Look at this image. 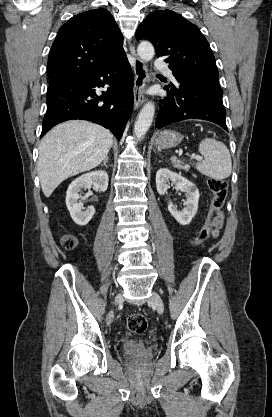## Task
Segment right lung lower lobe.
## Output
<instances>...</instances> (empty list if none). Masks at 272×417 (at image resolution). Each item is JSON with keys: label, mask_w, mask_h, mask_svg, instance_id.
<instances>
[{"label": "right lung lower lobe", "mask_w": 272, "mask_h": 417, "mask_svg": "<svg viewBox=\"0 0 272 417\" xmlns=\"http://www.w3.org/2000/svg\"><path fill=\"white\" fill-rule=\"evenodd\" d=\"M104 85L108 90L98 96L96 89ZM132 87L125 53L94 72L49 83L41 137L60 122L81 119L104 126L120 140L133 108Z\"/></svg>", "instance_id": "obj_1"}]
</instances>
